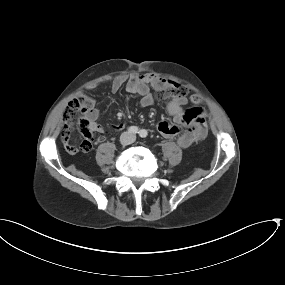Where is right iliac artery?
Listing matches in <instances>:
<instances>
[{
  "instance_id": "right-iliac-artery-1",
  "label": "right iliac artery",
  "mask_w": 285,
  "mask_h": 285,
  "mask_svg": "<svg viewBox=\"0 0 285 285\" xmlns=\"http://www.w3.org/2000/svg\"><path fill=\"white\" fill-rule=\"evenodd\" d=\"M128 132L132 133V134H136V133L139 132V129L136 126H131V127L128 128Z\"/></svg>"
}]
</instances>
